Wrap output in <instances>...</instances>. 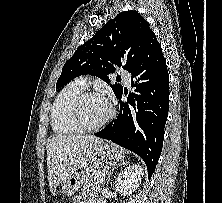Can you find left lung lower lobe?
Returning <instances> with one entry per match:
<instances>
[{"label":"left lung lower lobe","mask_w":222,"mask_h":203,"mask_svg":"<svg viewBox=\"0 0 222 203\" xmlns=\"http://www.w3.org/2000/svg\"><path fill=\"white\" fill-rule=\"evenodd\" d=\"M130 73L135 93L128 96L127 103H123L122 90L117 97L120 103L117 119L95 136L138 154L146 163L151 177L162 151L169 109L166 60L153 32L149 34L144 52Z\"/></svg>","instance_id":"left-lung-lower-lobe-1"}]
</instances>
